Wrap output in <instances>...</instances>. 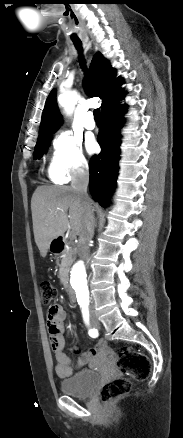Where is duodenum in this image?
Listing matches in <instances>:
<instances>
[{"label":"duodenum","instance_id":"1","mask_svg":"<svg viewBox=\"0 0 183 438\" xmlns=\"http://www.w3.org/2000/svg\"><path fill=\"white\" fill-rule=\"evenodd\" d=\"M64 245H65L64 239L59 238L56 242V247H57L58 251H62L64 248ZM65 290H66V294H67L68 299L71 302H75L76 296H75L74 290L69 286V284L65 285Z\"/></svg>","mask_w":183,"mask_h":438}]
</instances>
